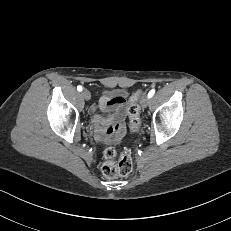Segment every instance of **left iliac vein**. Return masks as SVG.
Masks as SVG:
<instances>
[{"instance_id":"obj_1","label":"left iliac vein","mask_w":231,"mask_h":231,"mask_svg":"<svg viewBox=\"0 0 231 231\" xmlns=\"http://www.w3.org/2000/svg\"><path fill=\"white\" fill-rule=\"evenodd\" d=\"M149 104V98L147 95H143L142 98H141V106L143 108H146Z\"/></svg>"}]
</instances>
